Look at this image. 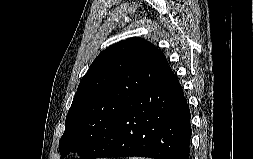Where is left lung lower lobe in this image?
I'll use <instances>...</instances> for the list:
<instances>
[{"mask_svg":"<svg viewBox=\"0 0 253 159\" xmlns=\"http://www.w3.org/2000/svg\"><path fill=\"white\" fill-rule=\"evenodd\" d=\"M191 134L189 107L168 66L124 107L95 158L189 159Z\"/></svg>","mask_w":253,"mask_h":159,"instance_id":"0a47b994","label":"left lung lower lobe"}]
</instances>
